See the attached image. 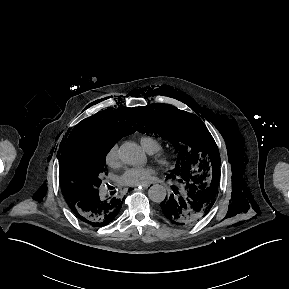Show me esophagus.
Here are the masks:
<instances>
[{"label": "esophagus", "instance_id": "obj_1", "mask_svg": "<svg viewBox=\"0 0 289 289\" xmlns=\"http://www.w3.org/2000/svg\"><path fill=\"white\" fill-rule=\"evenodd\" d=\"M150 187V184L142 185V189H147ZM134 190H138V188H134Z\"/></svg>", "mask_w": 289, "mask_h": 289}]
</instances>
